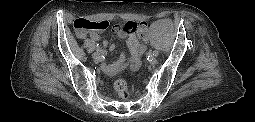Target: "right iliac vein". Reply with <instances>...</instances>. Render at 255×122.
Listing matches in <instances>:
<instances>
[{
  "label": "right iliac vein",
  "instance_id": "right-iliac-vein-1",
  "mask_svg": "<svg viewBox=\"0 0 255 122\" xmlns=\"http://www.w3.org/2000/svg\"><path fill=\"white\" fill-rule=\"evenodd\" d=\"M93 60H94L95 63H99L100 60H101L100 55L99 54L94 55Z\"/></svg>",
  "mask_w": 255,
  "mask_h": 122
}]
</instances>
